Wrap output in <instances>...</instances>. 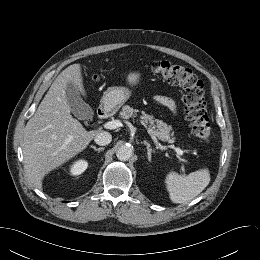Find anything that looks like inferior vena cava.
<instances>
[{"label": "inferior vena cava", "instance_id": "inferior-vena-cava-1", "mask_svg": "<svg viewBox=\"0 0 260 260\" xmlns=\"http://www.w3.org/2000/svg\"><path fill=\"white\" fill-rule=\"evenodd\" d=\"M111 140V134L106 131H99L94 137L95 143L101 146L108 145L111 142Z\"/></svg>", "mask_w": 260, "mask_h": 260}]
</instances>
